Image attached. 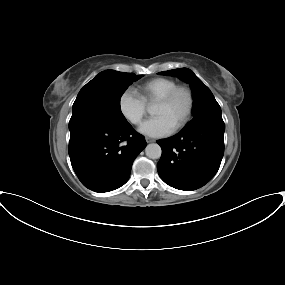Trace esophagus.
<instances>
[{"label": "esophagus", "instance_id": "34e87169", "mask_svg": "<svg viewBox=\"0 0 285 285\" xmlns=\"http://www.w3.org/2000/svg\"><path fill=\"white\" fill-rule=\"evenodd\" d=\"M145 140H146L147 143L155 142V140L150 138V137H146Z\"/></svg>", "mask_w": 285, "mask_h": 285}]
</instances>
